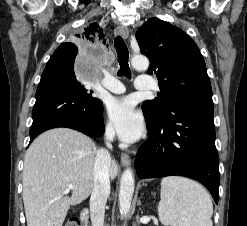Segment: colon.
Returning <instances> with one entry per match:
<instances>
[{
  "label": "colon",
  "mask_w": 247,
  "mask_h": 226,
  "mask_svg": "<svg viewBox=\"0 0 247 226\" xmlns=\"http://www.w3.org/2000/svg\"><path fill=\"white\" fill-rule=\"evenodd\" d=\"M64 226H81V222L77 217L70 218Z\"/></svg>",
  "instance_id": "1"
}]
</instances>
